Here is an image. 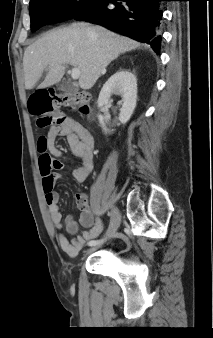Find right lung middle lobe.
<instances>
[{
	"instance_id": "dd1d6c3e",
	"label": "right lung middle lobe",
	"mask_w": 213,
	"mask_h": 338,
	"mask_svg": "<svg viewBox=\"0 0 213 338\" xmlns=\"http://www.w3.org/2000/svg\"><path fill=\"white\" fill-rule=\"evenodd\" d=\"M96 0H30L31 31L73 18Z\"/></svg>"
}]
</instances>
